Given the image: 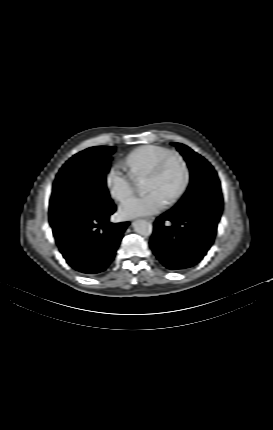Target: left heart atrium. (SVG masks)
I'll return each mask as SVG.
<instances>
[{
    "label": "left heart atrium",
    "instance_id": "1",
    "mask_svg": "<svg viewBox=\"0 0 273 430\" xmlns=\"http://www.w3.org/2000/svg\"><path fill=\"white\" fill-rule=\"evenodd\" d=\"M166 203L158 191H150L125 201L119 209V215L123 218L152 215L163 210Z\"/></svg>",
    "mask_w": 273,
    "mask_h": 430
}]
</instances>
